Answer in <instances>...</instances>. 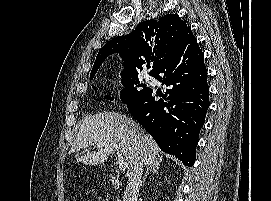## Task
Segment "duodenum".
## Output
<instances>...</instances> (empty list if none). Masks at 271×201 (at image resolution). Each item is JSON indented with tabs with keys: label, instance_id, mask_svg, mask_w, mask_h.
Listing matches in <instances>:
<instances>
[{
	"label": "duodenum",
	"instance_id": "duodenum-1",
	"mask_svg": "<svg viewBox=\"0 0 271 201\" xmlns=\"http://www.w3.org/2000/svg\"><path fill=\"white\" fill-rule=\"evenodd\" d=\"M109 183H110V185L114 188V189H116V190H119L120 188H121V186H122V183L120 182V180L119 179H117L115 176H113V175H111L110 177H109Z\"/></svg>",
	"mask_w": 271,
	"mask_h": 201
}]
</instances>
